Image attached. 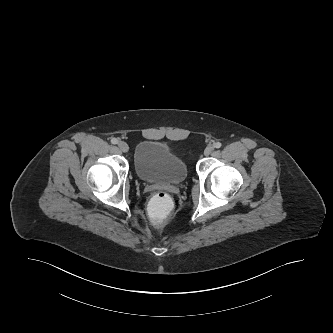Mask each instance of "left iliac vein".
Listing matches in <instances>:
<instances>
[{"label":"left iliac vein","instance_id":"left-iliac-vein-1","mask_svg":"<svg viewBox=\"0 0 333 333\" xmlns=\"http://www.w3.org/2000/svg\"><path fill=\"white\" fill-rule=\"evenodd\" d=\"M214 151V146L209 145L206 147V149L204 150V154L206 156H209L212 152Z\"/></svg>","mask_w":333,"mask_h":333}]
</instances>
